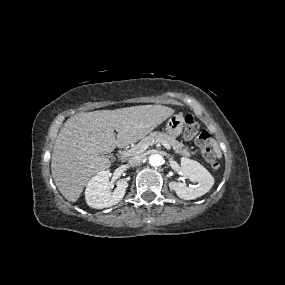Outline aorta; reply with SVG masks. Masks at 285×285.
Returning <instances> with one entry per match:
<instances>
[{"instance_id":"aorta-1","label":"aorta","mask_w":285,"mask_h":285,"mask_svg":"<svg viewBox=\"0 0 285 285\" xmlns=\"http://www.w3.org/2000/svg\"><path fill=\"white\" fill-rule=\"evenodd\" d=\"M148 160L153 167L161 166L164 162L163 157L160 154H152L149 156Z\"/></svg>"}]
</instances>
